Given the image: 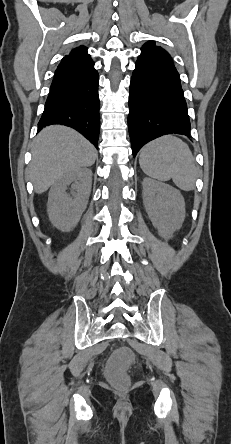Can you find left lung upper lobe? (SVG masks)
I'll return each mask as SVG.
<instances>
[{
    "label": "left lung upper lobe",
    "mask_w": 231,
    "mask_h": 444,
    "mask_svg": "<svg viewBox=\"0 0 231 444\" xmlns=\"http://www.w3.org/2000/svg\"><path fill=\"white\" fill-rule=\"evenodd\" d=\"M141 49H152V50H159V51L166 52L161 47L156 46L154 41H150L148 43H145Z\"/></svg>",
    "instance_id": "obj_1"
}]
</instances>
